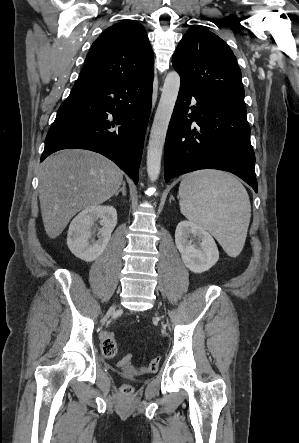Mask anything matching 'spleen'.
<instances>
[{"mask_svg": "<svg viewBox=\"0 0 299 443\" xmlns=\"http://www.w3.org/2000/svg\"><path fill=\"white\" fill-rule=\"evenodd\" d=\"M180 210L191 222L208 230L226 253L242 251L251 217L249 196L233 176L216 170L187 175L179 186Z\"/></svg>", "mask_w": 299, "mask_h": 443, "instance_id": "3e777b00", "label": "spleen"}]
</instances>
